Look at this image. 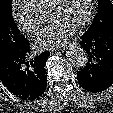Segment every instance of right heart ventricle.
Masks as SVG:
<instances>
[{
  "mask_svg": "<svg viewBox=\"0 0 113 113\" xmlns=\"http://www.w3.org/2000/svg\"><path fill=\"white\" fill-rule=\"evenodd\" d=\"M52 0H27L37 11L44 14Z\"/></svg>",
  "mask_w": 113,
  "mask_h": 113,
  "instance_id": "e07e8e85",
  "label": "right heart ventricle"
}]
</instances>
